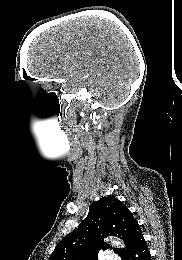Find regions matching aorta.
I'll use <instances>...</instances> for the list:
<instances>
[{
    "instance_id": "1",
    "label": "aorta",
    "mask_w": 182,
    "mask_h": 260,
    "mask_svg": "<svg viewBox=\"0 0 182 260\" xmlns=\"http://www.w3.org/2000/svg\"><path fill=\"white\" fill-rule=\"evenodd\" d=\"M115 244H116L117 246L120 245V243H119V242H116V241H115Z\"/></svg>"
}]
</instances>
